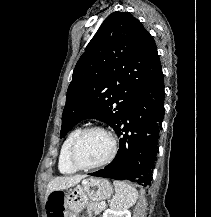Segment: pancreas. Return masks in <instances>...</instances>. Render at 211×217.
Listing matches in <instances>:
<instances>
[{"label":"pancreas","mask_w":211,"mask_h":217,"mask_svg":"<svg viewBox=\"0 0 211 217\" xmlns=\"http://www.w3.org/2000/svg\"><path fill=\"white\" fill-rule=\"evenodd\" d=\"M103 209L104 207L98 202H90L87 205V212L89 214V217H91L92 212L99 214Z\"/></svg>","instance_id":"obj_1"}]
</instances>
